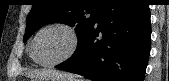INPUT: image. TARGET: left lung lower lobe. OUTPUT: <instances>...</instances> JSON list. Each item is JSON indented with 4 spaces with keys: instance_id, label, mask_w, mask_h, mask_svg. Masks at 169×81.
Segmentation results:
<instances>
[{
    "instance_id": "obj_1",
    "label": "left lung lower lobe",
    "mask_w": 169,
    "mask_h": 81,
    "mask_svg": "<svg viewBox=\"0 0 169 81\" xmlns=\"http://www.w3.org/2000/svg\"><path fill=\"white\" fill-rule=\"evenodd\" d=\"M150 36L144 0H107L72 57L56 68L94 81H143Z\"/></svg>"
}]
</instances>
